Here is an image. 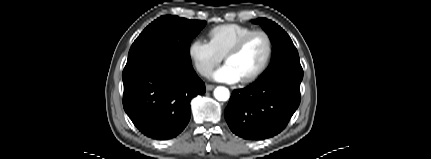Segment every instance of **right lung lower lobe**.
I'll return each mask as SVG.
<instances>
[{
  "label": "right lung lower lobe",
  "mask_w": 431,
  "mask_h": 159,
  "mask_svg": "<svg viewBox=\"0 0 431 159\" xmlns=\"http://www.w3.org/2000/svg\"><path fill=\"white\" fill-rule=\"evenodd\" d=\"M122 79L125 112L140 132L157 140L180 134L190 120L191 99L205 93L191 63L162 51L128 60Z\"/></svg>",
  "instance_id": "right-lung-lower-lobe-1"
}]
</instances>
